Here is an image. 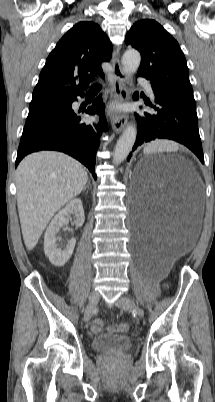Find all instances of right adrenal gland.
I'll use <instances>...</instances> for the list:
<instances>
[{
	"label": "right adrenal gland",
	"mask_w": 215,
	"mask_h": 402,
	"mask_svg": "<svg viewBox=\"0 0 215 402\" xmlns=\"http://www.w3.org/2000/svg\"><path fill=\"white\" fill-rule=\"evenodd\" d=\"M87 188H91L89 181H88L87 185L84 187L83 191H85Z\"/></svg>",
	"instance_id": "right-adrenal-gland-1"
}]
</instances>
